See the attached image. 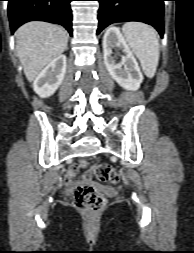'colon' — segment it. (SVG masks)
Instances as JSON below:
<instances>
[{"instance_id": "5ec220e1", "label": "colon", "mask_w": 194, "mask_h": 253, "mask_svg": "<svg viewBox=\"0 0 194 253\" xmlns=\"http://www.w3.org/2000/svg\"><path fill=\"white\" fill-rule=\"evenodd\" d=\"M82 167H87L85 161H81ZM94 175L100 181L116 184L120 180L119 173L108 164H95L87 169V175ZM73 205L82 211L98 212L106 205L104 196L92 185L77 187L72 195Z\"/></svg>"}]
</instances>
